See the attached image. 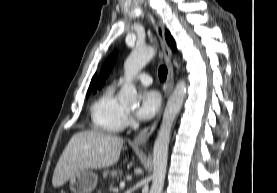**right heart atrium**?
<instances>
[{
  "label": "right heart atrium",
  "instance_id": "d8ad5b80",
  "mask_svg": "<svg viewBox=\"0 0 277 193\" xmlns=\"http://www.w3.org/2000/svg\"><path fill=\"white\" fill-rule=\"evenodd\" d=\"M132 123V118L129 114H126L125 116V125L131 124Z\"/></svg>",
  "mask_w": 277,
  "mask_h": 193
}]
</instances>
